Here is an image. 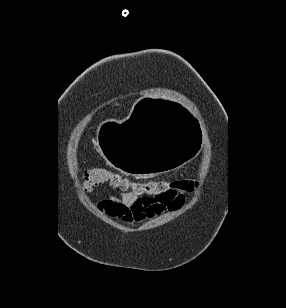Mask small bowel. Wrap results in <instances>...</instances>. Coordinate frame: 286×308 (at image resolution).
Here are the masks:
<instances>
[{
  "label": "small bowel",
  "instance_id": "c3829d8e",
  "mask_svg": "<svg viewBox=\"0 0 286 308\" xmlns=\"http://www.w3.org/2000/svg\"><path fill=\"white\" fill-rule=\"evenodd\" d=\"M188 193L171 190L163 197L152 199L136 193H125L98 200L96 205L107 216L131 224L180 209Z\"/></svg>",
  "mask_w": 286,
  "mask_h": 308
}]
</instances>
